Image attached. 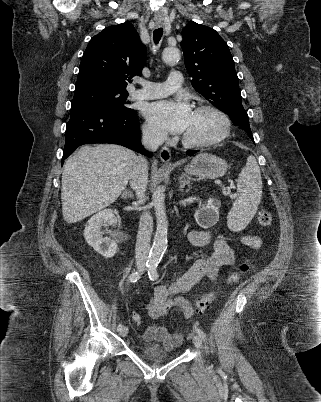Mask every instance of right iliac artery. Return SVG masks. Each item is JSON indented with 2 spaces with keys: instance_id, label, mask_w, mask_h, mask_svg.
I'll return each mask as SVG.
<instances>
[{
  "instance_id": "obj_1",
  "label": "right iliac artery",
  "mask_w": 321,
  "mask_h": 402,
  "mask_svg": "<svg viewBox=\"0 0 321 402\" xmlns=\"http://www.w3.org/2000/svg\"><path fill=\"white\" fill-rule=\"evenodd\" d=\"M151 267V265H146V267L144 269L138 270L133 272L132 274H130L129 276V280L130 282H136L138 279H140L141 275L143 274V272L147 269H149ZM123 328L122 324H119L117 327L118 331H121Z\"/></svg>"
}]
</instances>
